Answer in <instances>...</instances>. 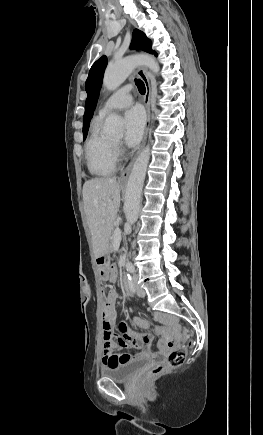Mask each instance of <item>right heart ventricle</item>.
Here are the masks:
<instances>
[{
	"label": "right heart ventricle",
	"instance_id": "1",
	"mask_svg": "<svg viewBox=\"0 0 263 435\" xmlns=\"http://www.w3.org/2000/svg\"><path fill=\"white\" fill-rule=\"evenodd\" d=\"M103 117L93 119L85 145L87 168L93 176L106 177L117 169V153L112 141L102 133Z\"/></svg>",
	"mask_w": 263,
	"mask_h": 435
}]
</instances>
